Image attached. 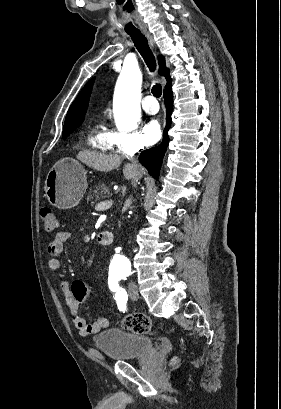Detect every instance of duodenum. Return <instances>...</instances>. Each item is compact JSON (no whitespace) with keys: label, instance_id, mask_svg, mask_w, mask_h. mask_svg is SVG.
<instances>
[{"label":"duodenum","instance_id":"duodenum-1","mask_svg":"<svg viewBox=\"0 0 281 409\" xmlns=\"http://www.w3.org/2000/svg\"><path fill=\"white\" fill-rule=\"evenodd\" d=\"M97 242L100 245H109L112 242V234L110 232H102L97 235Z\"/></svg>","mask_w":281,"mask_h":409}]
</instances>
